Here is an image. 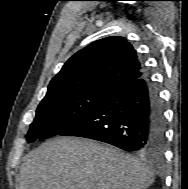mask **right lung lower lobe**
<instances>
[{
	"label": "right lung lower lobe",
	"instance_id": "1",
	"mask_svg": "<svg viewBox=\"0 0 188 189\" xmlns=\"http://www.w3.org/2000/svg\"><path fill=\"white\" fill-rule=\"evenodd\" d=\"M58 135L90 138L130 152L161 153L165 119L157 89L145 72L111 91Z\"/></svg>",
	"mask_w": 188,
	"mask_h": 189
}]
</instances>
